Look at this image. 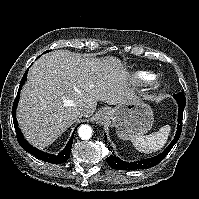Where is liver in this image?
I'll use <instances>...</instances> for the list:
<instances>
[{"mask_svg":"<svg viewBox=\"0 0 199 199\" xmlns=\"http://www.w3.org/2000/svg\"><path fill=\"white\" fill-rule=\"evenodd\" d=\"M128 72L114 57L90 58L57 50L39 58L31 67L17 109L25 138L45 148L81 116L90 117L97 101L116 105L132 95Z\"/></svg>","mask_w":199,"mask_h":199,"instance_id":"obj_1","label":"liver"}]
</instances>
